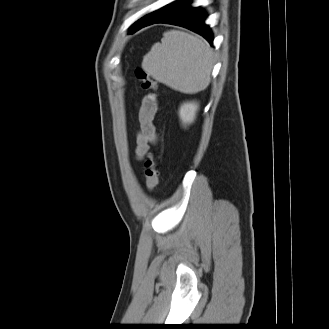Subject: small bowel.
Returning a JSON list of instances; mask_svg holds the SVG:
<instances>
[{"label":"small bowel","instance_id":"obj_1","mask_svg":"<svg viewBox=\"0 0 329 329\" xmlns=\"http://www.w3.org/2000/svg\"><path fill=\"white\" fill-rule=\"evenodd\" d=\"M157 112V102L150 95L143 98L138 109L139 132L136 136L135 155L138 160H142L150 148V145L158 139L154 118Z\"/></svg>","mask_w":329,"mask_h":329}]
</instances>
